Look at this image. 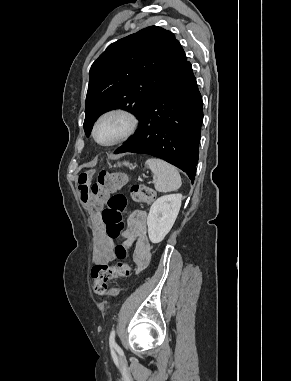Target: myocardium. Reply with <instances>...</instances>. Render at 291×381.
<instances>
[{"mask_svg":"<svg viewBox=\"0 0 291 381\" xmlns=\"http://www.w3.org/2000/svg\"><path fill=\"white\" fill-rule=\"evenodd\" d=\"M111 115H119V116H123L124 118H126L128 121V128H127L126 132L122 136L117 138L116 140H114L110 143H101L97 138L98 125L104 118L111 116ZM138 126H139V118L133 111H131L127 108H122V107L112 108L110 110L103 112L95 120L94 125H93V129H92V135H93L95 142L97 144H99L100 146L112 147V146H116L118 144H121V143L129 140L136 133Z\"/></svg>","mask_w":291,"mask_h":381,"instance_id":"1","label":"myocardium"}]
</instances>
